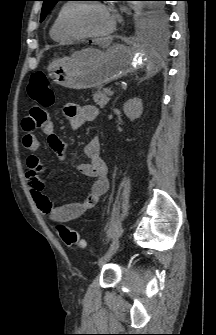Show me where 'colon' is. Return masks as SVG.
Segmentation results:
<instances>
[{
	"label": "colon",
	"mask_w": 216,
	"mask_h": 335,
	"mask_svg": "<svg viewBox=\"0 0 216 335\" xmlns=\"http://www.w3.org/2000/svg\"><path fill=\"white\" fill-rule=\"evenodd\" d=\"M27 91L35 104H42L43 108H50L55 102V91L50 87L48 79L42 71H36L31 74ZM56 230L67 246L77 250H86L88 248L86 241L73 228L59 223Z\"/></svg>",
	"instance_id": "5ec220e1"
}]
</instances>
